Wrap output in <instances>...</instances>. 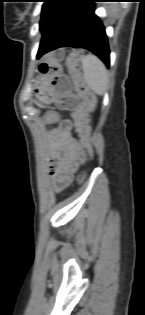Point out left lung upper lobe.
I'll return each mask as SVG.
<instances>
[{"label":"left lung upper lobe","mask_w":145,"mask_h":315,"mask_svg":"<svg viewBox=\"0 0 145 315\" xmlns=\"http://www.w3.org/2000/svg\"><path fill=\"white\" fill-rule=\"evenodd\" d=\"M72 1L73 0H44L40 21V30L42 31L43 37L52 27L58 16Z\"/></svg>","instance_id":"1"}]
</instances>
